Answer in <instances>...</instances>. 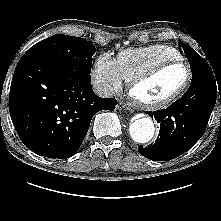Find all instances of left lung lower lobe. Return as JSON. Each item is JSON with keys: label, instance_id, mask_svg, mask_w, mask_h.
I'll list each match as a JSON object with an SVG mask.
<instances>
[{"label": "left lung lower lobe", "instance_id": "1", "mask_svg": "<svg viewBox=\"0 0 221 221\" xmlns=\"http://www.w3.org/2000/svg\"><path fill=\"white\" fill-rule=\"evenodd\" d=\"M219 95L221 102V78L211 76L191 84L168 108L147 111L160 123V131L155 143L139 146V152L150 160L167 161L191 149L203 136Z\"/></svg>", "mask_w": 221, "mask_h": 221}]
</instances>
